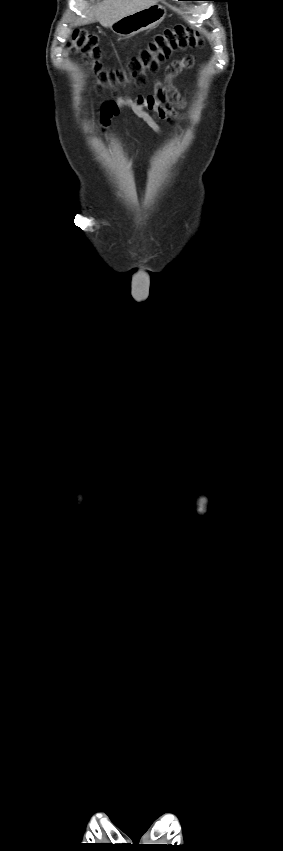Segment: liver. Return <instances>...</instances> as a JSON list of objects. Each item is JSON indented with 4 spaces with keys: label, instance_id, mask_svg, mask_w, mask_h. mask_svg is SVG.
Here are the masks:
<instances>
[{
    "label": "liver",
    "instance_id": "liver-1",
    "mask_svg": "<svg viewBox=\"0 0 283 851\" xmlns=\"http://www.w3.org/2000/svg\"><path fill=\"white\" fill-rule=\"evenodd\" d=\"M157 0H103L92 11H88L84 20L76 24H88L98 21L103 27H110L118 19L156 4Z\"/></svg>",
    "mask_w": 283,
    "mask_h": 851
}]
</instances>
